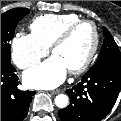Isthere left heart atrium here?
<instances>
[{
    "label": "left heart atrium",
    "mask_w": 121,
    "mask_h": 121,
    "mask_svg": "<svg viewBox=\"0 0 121 121\" xmlns=\"http://www.w3.org/2000/svg\"><path fill=\"white\" fill-rule=\"evenodd\" d=\"M68 70L63 62L55 55L43 63L29 69L24 74V82L31 88L51 89L59 86Z\"/></svg>",
    "instance_id": "1"
}]
</instances>
